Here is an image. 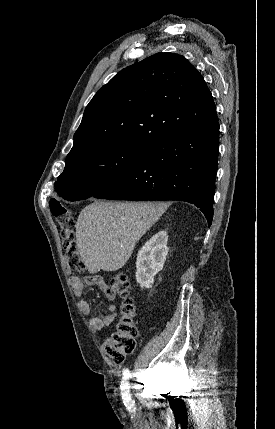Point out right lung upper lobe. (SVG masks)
Returning <instances> with one entry per match:
<instances>
[{"mask_svg": "<svg viewBox=\"0 0 275 429\" xmlns=\"http://www.w3.org/2000/svg\"><path fill=\"white\" fill-rule=\"evenodd\" d=\"M218 120L202 75L181 55L157 53L115 75L87 105L66 163L115 144L147 148Z\"/></svg>", "mask_w": 275, "mask_h": 429, "instance_id": "cb5924a9", "label": "right lung upper lobe"}]
</instances>
